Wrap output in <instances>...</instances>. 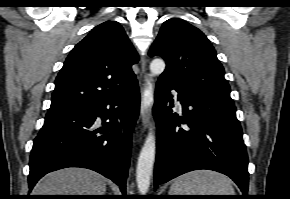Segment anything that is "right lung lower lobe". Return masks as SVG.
Returning <instances> with one entry per match:
<instances>
[{
  "mask_svg": "<svg viewBox=\"0 0 290 199\" xmlns=\"http://www.w3.org/2000/svg\"><path fill=\"white\" fill-rule=\"evenodd\" d=\"M139 106L135 81L123 92L92 105L46 115L31 151L29 190L49 172L83 167L111 179L124 194ZM98 117L101 127L96 122Z\"/></svg>",
  "mask_w": 290,
  "mask_h": 199,
  "instance_id": "obj_1",
  "label": "right lung lower lobe"
}]
</instances>
